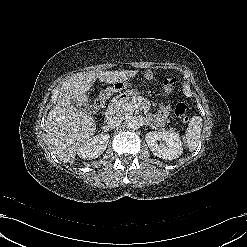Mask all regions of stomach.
Instances as JSON below:
<instances>
[{"instance_id":"0dacf381","label":"stomach","mask_w":247,"mask_h":247,"mask_svg":"<svg viewBox=\"0 0 247 247\" xmlns=\"http://www.w3.org/2000/svg\"><path fill=\"white\" fill-rule=\"evenodd\" d=\"M119 83H120V85L119 86H116L111 91H118V90H121V89H126L129 86L128 82H118V84ZM132 94H133L132 91H126L124 93V96L128 97V96H131Z\"/></svg>"}]
</instances>
